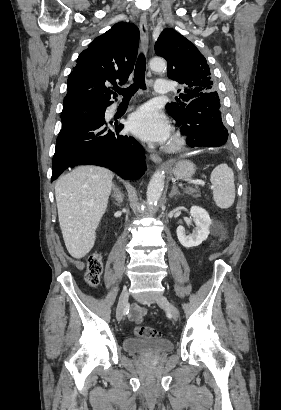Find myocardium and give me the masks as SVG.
I'll return each mask as SVG.
<instances>
[{
	"mask_svg": "<svg viewBox=\"0 0 281 410\" xmlns=\"http://www.w3.org/2000/svg\"><path fill=\"white\" fill-rule=\"evenodd\" d=\"M185 144V137L177 132L175 133L165 149L169 152H176L180 150Z\"/></svg>",
	"mask_w": 281,
	"mask_h": 410,
	"instance_id": "myocardium-1",
	"label": "myocardium"
}]
</instances>
